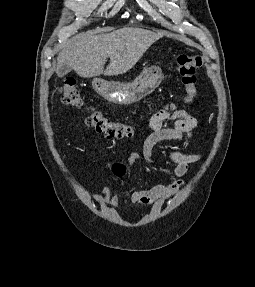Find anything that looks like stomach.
Masks as SVG:
<instances>
[{
	"label": "stomach",
	"instance_id": "0dacf381",
	"mask_svg": "<svg viewBox=\"0 0 255 287\" xmlns=\"http://www.w3.org/2000/svg\"><path fill=\"white\" fill-rule=\"evenodd\" d=\"M163 76L161 72H149L144 70L134 82H106L101 78H94L92 86L104 100L107 102H113V104H121V106H128V104H135L139 102L151 92H154L155 88H158L161 84Z\"/></svg>",
	"mask_w": 255,
	"mask_h": 287
}]
</instances>
